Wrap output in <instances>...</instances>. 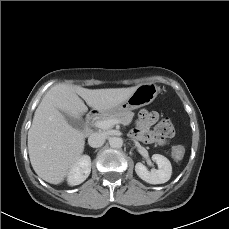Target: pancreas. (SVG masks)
Returning a JSON list of instances; mask_svg holds the SVG:
<instances>
[{
  "instance_id": "1",
  "label": "pancreas",
  "mask_w": 229,
  "mask_h": 229,
  "mask_svg": "<svg viewBox=\"0 0 229 229\" xmlns=\"http://www.w3.org/2000/svg\"><path fill=\"white\" fill-rule=\"evenodd\" d=\"M133 116L134 114L131 111L119 112L115 114L103 115L101 117V121L115 119L118 120L123 125H128L132 121Z\"/></svg>"
}]
</instances>
